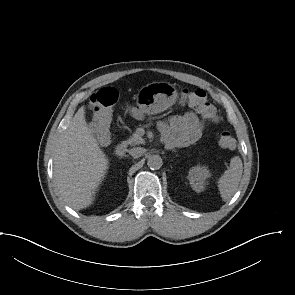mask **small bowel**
<instances>
[{"mask_svg":"<svg viewBox=\"0 0 295 295\" xmlns=\"http://www.w3.org/2000/svg\"><path fill=\"white\" fill-rule=\"evenodd\" d=\"M135 117H141L139 108L130 109ZM158 128L169 147H184L196 142L203 131L202 121L192 112L173 115L168 121H161Z\"/></svg>","mask_w":295,"mask_h":295,"instance_id":"small-bowel-1","label":"small bowel"}]
</instances>
